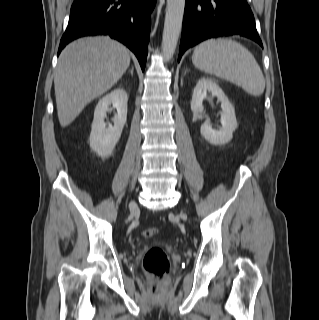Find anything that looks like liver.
Returning <instances> with one entry per match:
<instances>
[{
	"label": "liver",
	"mask_w": 319,
	"mask_h": 320,
	"mask_svg": "<svg viewBox=\"0 0 319 320\" xmlns=\"http://www.w3.org/2000/svg\"><path fill=\"white\" fill-rule=\"evenodd\" d=\"M130 64L128 49L108 36L73 41L61 52L54 77L61 127L116 84Z\"/></svg>",
	"instance_id": "1"
}]
</instances>
